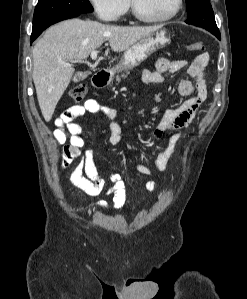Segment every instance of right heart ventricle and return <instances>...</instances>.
Instances as JSON below:
<instances>
[{"label": "right heart ventricle", "instance_id": "1", "mask_svg": "<svg viewBox=\"0 0 247 299\" xmlns=\"http://www.w3.org/2000/svg\"><path fill=\"white\" fill-rule=\"evenodd\" d=\"M128 7H129V2L127 1V9H128Z\"/></svg>", "mask_w": 247, "mask_h": 299}]
</instances>
